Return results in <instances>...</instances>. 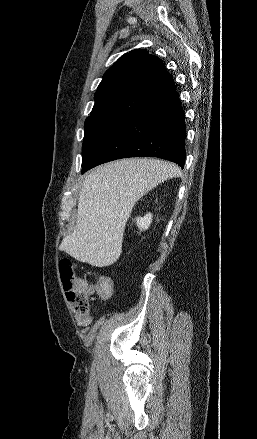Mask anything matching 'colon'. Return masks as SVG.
Returning a JSON list of instances; mask_svg holds the SVG:
<instances>
[{
	"label": "colon",
	"instance_id": "5ec220e1",
	"mask_svg": "<svg viewBox=\"0 0 257 439\" xmlns=\"http://www.w3.org/2000/svg\"><path fill=\"white\" fill-rule=\"evenodd\" d=\"M59 268L68 303L76 315L88 316L89 298L93 294L107 297L112 293L113 285L110 278L101 275L94 284H89L76 274V265L69 258H62Z\"/></svg>",
	"mask_w": 257,
	"mask_h": 439
}]
</instances>
